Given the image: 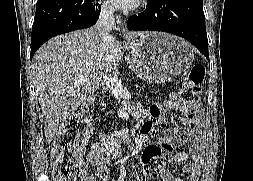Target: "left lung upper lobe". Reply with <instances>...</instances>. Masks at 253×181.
<instances>
[{"label":"left lung upper lobe","mask_w":253,"mask_h":181,"mask_svg":"<svg viewBox=\"0 0 253 181\" xmlns=\"http://www.w3.org/2000/svg\"><path fill=\"white\" fill-rule=\"evenodd\" d=\"M153 1H156V0H148V3H149V2H153Z\"/></svg>","instance_id":"left-lung-upper-lobe-1"}]
</instances>
